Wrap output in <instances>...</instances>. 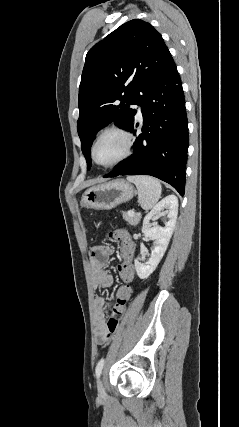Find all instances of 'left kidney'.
<instances>
[{
  "label": "left kidney",
  "mask_w": 239,
  "mask_h": 427,
  "mask_svg": "<svg viewBox=\"0 0 239 427\" xmlns=\"http://www.w3.org/2000/svg\"><path fill=\"white\" fill-rule=\"evenodd\" d=\"M163 209H166L168 221L164 227L153 226L151 227L149 222ZM178 215V199L174 195H169L161 200L153 209L145 216L143 220L142 232L146 238L154 241V246L151 250V256L146 262L138 261L135 259V268L139 278L145 279L150 276L161 261L170 238L173 234V230L176 224Z\"/></svg>",
  "instance_id": "left-kidney-1"
}]
</instances>
